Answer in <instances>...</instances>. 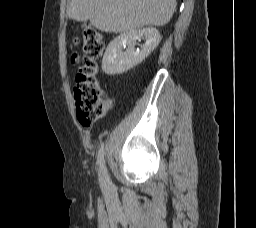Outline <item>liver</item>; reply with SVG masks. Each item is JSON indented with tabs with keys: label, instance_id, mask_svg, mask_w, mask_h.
I'll use <instances>...</instances> for the list:
<instances>
[{
	"label": "liver",
	"instance_id": "6515ba94",
	"mask_svg": "<svg viewBox=\"0 0 256 228\" xmlns=\"http://www.w3.org/2000/svg\"><path fill=\"white\" fill-rule=\"evenodd\" d=\"M176 0H69V19L86 22L107 33H126L143 26H164Z\"/></svg>",
	"mask_w": 256,
	"mask_h": 228
}]
</instances>
